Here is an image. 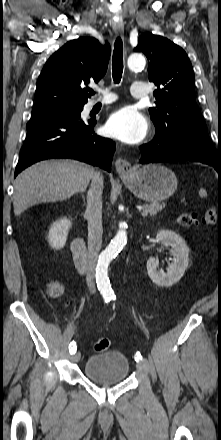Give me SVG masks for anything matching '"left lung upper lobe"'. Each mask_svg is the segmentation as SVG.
Segmentation results:
<instances>
[{
  "label": "left lung upper lobe",
  "instance_id": "5c2ea615",
  "mask_svg": "<svg viewBox=\"0 0 221 440\" xmlns=\"http://www.w3.org/2000/svg\"><path fill=\"white\" fill-rule=\"evenodd\" d=\"M135 51L149 61V80L157 86V107L149 108L156 133H194L210 141L195 101L194 72L185 51L167 38L144 33Z\"/></svg>",
  "mask_w": 221,
  "mask_h": 440
}]
</instances>
